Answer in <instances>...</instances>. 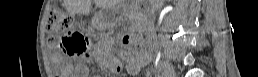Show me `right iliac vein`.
Segmentation results:
<instances>
[{"instance_id":"63e3f726","label":"right iliac vein","mask_w":258,"mask_h":77,"mask_svg":"<svg viewBox=\"0 0 258 77\" xmlns=\"http://www.w3.org/2000/svg\"><path fill=\"white\" fill-rule=\"evenodd\" d=\"M163 68L167 77H174V70L168 61L163 62Z\"/></svg>"}]
</instances>
